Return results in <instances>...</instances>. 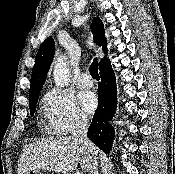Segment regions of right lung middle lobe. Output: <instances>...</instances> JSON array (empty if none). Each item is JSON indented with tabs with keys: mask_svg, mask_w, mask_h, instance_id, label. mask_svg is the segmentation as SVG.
Listing matches in <instances>:
<instances>
[{
	"mask_svg": "<svg viewBox=\"0 0 175 174\" xmlns=\"http://www.w3.org/2000/svg\"><path fill=\"white\" fill-rule=\"evenodd\" d=\"M37 97L29 101L31 116H34Z\"/></svg>",
	"mask_w": 175,
	"mask_h": 174,
	"instance_id": "obj_1",
	"label": "right lung middle lobe"
}]
</instances>
